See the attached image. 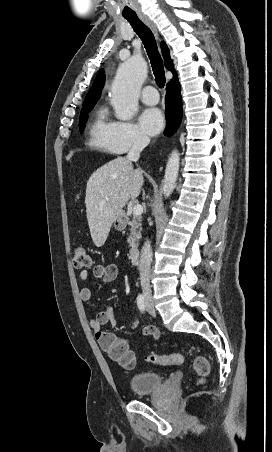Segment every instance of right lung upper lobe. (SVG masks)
<instances>
[{"label": "right lung upper lobe", "instance_id": "cb5924a9", "mask_svg": "<svg viewBox=\"0 0 272 452\" xmlns=\"http://www.w3.org/2000/svg\"><path fill=\"white\" fill-rule=\"evenodd\" d=\"M161 49H162V54H163L164 61H165V66L167 69L171 70L174 75V77L171 81H174L178 78H177L176 73L173 68V63L170 58L168 47L166 46V44L164 42L161 43ZM104 81H105V74H104L103 70H100L93 82L92 87L90 88V90L85 98L83 105L93 104L98 101L101 91L104 87Z\"/></svg>", "mask_w": 272, "mask_h": 452}]
</instances>
